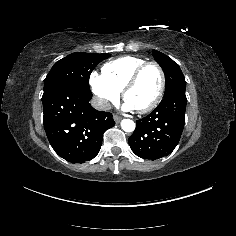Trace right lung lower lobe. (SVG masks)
<instances>
[{
    "mask_svg": "<svg viewBox=\"0 0 236 236\" xmlns=\"http://www.w3.org/2000/svg\"><path fill=\"white\" fill-rule=\"evenodd\" d=\"M86 93L60 84L44 92L43 124L55 152L71 163H84L99 152L103 133L115 125L112 114L94 109Z\"/></svg>",
    "mask_w": 236,
    "mask_h": 236,
    "instance_id": "obj_1",
    "label": "right lung lower lobe"
}]
</instances>
